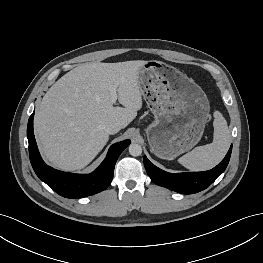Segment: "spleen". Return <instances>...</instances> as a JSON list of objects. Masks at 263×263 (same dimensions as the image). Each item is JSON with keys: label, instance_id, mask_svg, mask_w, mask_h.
Listing matches in <instances>:
<instances>
[{"label": "spleen", "instance_id": "obj_1", "mask_svg": "<svg viewBox=\"0 0 263 263\" xmlns=\"http://www.w3.org/2000/svg\"><path fill=\"white\" fill-rule=\"evenodd\" d=\"M213 142L194 148L183 155L178 162L192 171H205L215 167L225 156L230 144V134L225 118L219 111L214 112Z\"/></svg>", "mask_w": 263, "mask_h": 263}]
</instances>
